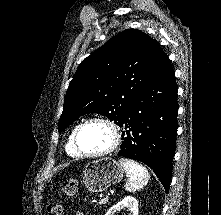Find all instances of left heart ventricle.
<instances>
[{"label": "left heart ventricle", "mask_w": 221, "mask_h": 215, "mask_svg": "<svg viewBox=\"0 0 221 215\" xmlns=\"http://www.w3.org/2000/svg\"><path fill=\"white\" fill-rule=\"evenodd\" d=\"M112 141L111 132L102 123H90L79 133L78 144L82 151L97 153L109 147Z\"/></svg>", "instance_id": "1"}]
</instances>
